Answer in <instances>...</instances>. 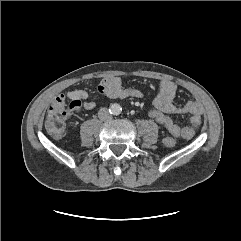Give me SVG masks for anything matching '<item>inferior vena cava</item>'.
<instances>
[{
	"mask_svg": "<svg viewBox=\"0 0 241 241\" xmlns=\"http://www.w3.org/2000/svg\"><path fill=\"white\" fill-rule=\"evenodd\" d=\"M98 117L102 121H108L112 118V115L107 108H101L98 112Z\"/></svg>",
	"mask_w": 241,
	"mask_h": 241,
	"instance_id": "602c4592",
	"label": "inferior vena cava"
}]
</instances>
